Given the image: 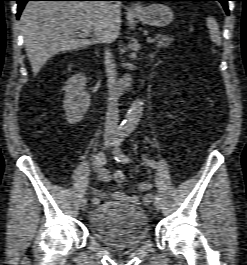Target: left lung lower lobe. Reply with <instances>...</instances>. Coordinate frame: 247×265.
Returning a JSON list of instances; mask_svg holds the SVG:
<instances>
[{
	"label": "left lung lower lobe",
	"mask_w": 247,
	"mask_h": 265,
	"mask_svg": "<svg viewBox=\"0 0 247 265\" xmlns=\"http://www.w3.org/2000/svg\"><path fill=\"white\" fill-rule=\"evenodd\" d=\"M127 1H178V0H127ZM194 1H219L222 6L224 7L227 15L229 14V9H228V1L230 0H194Z\"/></svg>",
	"instance_id": "left-lung-lower-lobe-1"
}]
</instances>
